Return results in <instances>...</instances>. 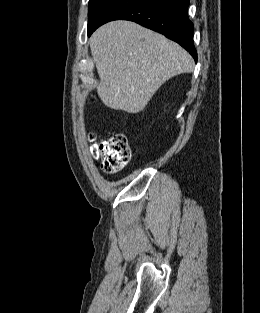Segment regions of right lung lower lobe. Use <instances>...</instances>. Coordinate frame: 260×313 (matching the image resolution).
Segmentation results:
<instances>
[{
    "label": "right lung lower lobe",
    "instance_id": "obj_1",
    "mask_svg": "<svg viewBox=\"0 0 260 313\" xmlns=\"http://www.w3.org/2000/svg\"><path fill=\"white\" fill-rule=\"evenodd\" d=\"M189 0H118L88 32L117 19L134 21L165 35L185 48L197 61L193 44V23L188 18Z\"/></svg>",
    "mask_w": 260,
    "mask_h": 313
}]
</instances>
